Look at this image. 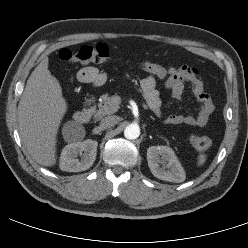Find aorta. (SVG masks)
<instances>
[{"label": "aorta", "instance_id": "1", "mask_svg": "<svg viewBox=\"0 0 248 248\" xmlns=\"http://www.w3.org/2000/svg\"><path fill=\"white\" fill-rule=\"evenodd\" d=\"M139 135H140V128L137 124H130L124 130V136L129 140L137 139Z\"/></svg>", "mask_w": 248, "mask_h": 248}]
</instances>
